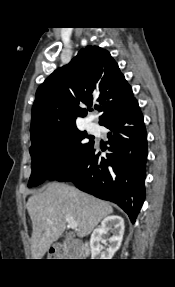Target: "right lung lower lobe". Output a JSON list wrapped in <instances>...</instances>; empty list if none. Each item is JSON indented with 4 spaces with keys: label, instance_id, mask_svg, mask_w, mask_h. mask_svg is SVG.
<instances>
[{
    "label": "right lung lower lobe",
    "instance_id": "obj_1",
    "mask_svg": "<svg viewBox=\"0 0 175 287\" xmlns=\"http://www.w3.org/2000/svg\"><path fill=\"white\" fill-rule=\"evenodd\" d=\"M99 123L109 129L107 158L93 145L79 166L56 180L72 181L80 190L116 203L134 223L145 198L147 158V133L138 102Z\"/></svg>",
    "mask_w": 175,
    "mask_h": 287
}]
</instances>
